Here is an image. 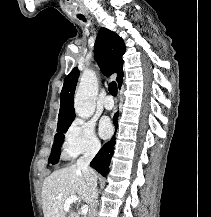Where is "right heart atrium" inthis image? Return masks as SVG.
Instances as JSON below:
<instances>
[{
    "label": "right heart atrium",
    "instance_id": "right-heart-atrium-1",
    "mask_svg": "<svg viewBox=\"0 0 211 217\" xmlns=\"http://www.w3.org/2000/svg\"><path fill=\"white\" fill-rule=\"evenodd\" d=\"M100 146L94 125L84 119H75L65 133L63 149L69 158L95 154Z\"/></svg>",
    "mask_w": 211,
    "mask_h": 217
}]
</instances>
